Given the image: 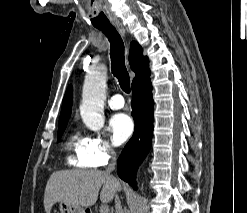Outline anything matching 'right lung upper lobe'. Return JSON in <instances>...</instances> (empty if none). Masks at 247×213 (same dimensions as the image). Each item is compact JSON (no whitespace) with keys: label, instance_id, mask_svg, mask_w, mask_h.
Wrapping results in <instances>:
<instances>
[{"label":"right lung upper lobe","instance_id":"cb5924a9","mask_svg":"<svg viewBox=\"0 0 247 213\" xmlns=\"http://www.w3.org/2000/svg\"><path fill=\"white\" fill-rule=\"evenodd\" d=\"M129 63L131 69L136 73V77L133 79V83H135L136 81L140 80L145 76L150 75V71L148 67L149 60L147 57L143 56L142 47L137 42H132L130 45ZM71 107H72V87L69 86L63 98L58 126L68 122V119L71 115Z\"/></svg>","mask_w":247,"mask_h":213}]
</instances>
